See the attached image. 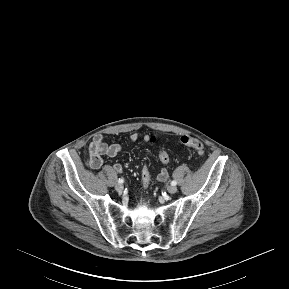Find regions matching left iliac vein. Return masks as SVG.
<instances>
[{
  "label": "left iliac vein",
  "instance_id": "1",
  "mask_svg": "<svg viewBox=\"0 0 289 289\" xmlns=\"http://www.w3.org/2000/svg\"><path fill=\"white\" fill-rule=\"evenodd\" d=\"M167 190H168L169 193L174 194V193L177 192V187L174 186V185H171V186L168 187Z\"/></svg>",
  "mask_w": 289,
  "mask_h": 289
}]
</instances>
